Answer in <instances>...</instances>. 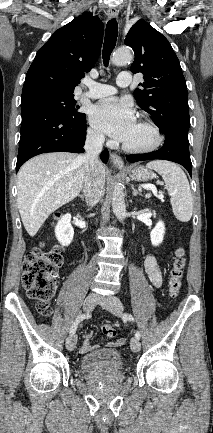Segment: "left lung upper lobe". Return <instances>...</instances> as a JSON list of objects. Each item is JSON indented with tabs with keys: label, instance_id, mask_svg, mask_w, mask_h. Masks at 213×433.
<instances>
[{
	"label": "left lung upper lobe",
	"instance_id": "left-lung-upper-lobe-1",
	"mask_svg": "<svg viewBox=\"0 0 213 433\" xmlns=\"http://www.w3.org/2000/svg\"><path fill=\"white\" fill-rule=\"evenodd\" d=\"M135 53L133 73H143L141 89L134 91L140 107L153 116L165 134L188 136L189 111L186 81L179 60L168 40L144 20H138L125 38Z\"/></svg>",
	"mask_w": 213,
	"mask_h": 433
}]
</instances>
